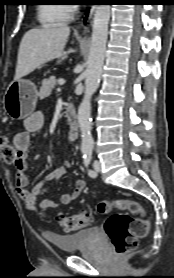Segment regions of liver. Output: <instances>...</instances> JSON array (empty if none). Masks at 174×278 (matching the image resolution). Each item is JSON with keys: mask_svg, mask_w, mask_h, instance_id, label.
<instances>
[{"mask_svg": "<svg viewBox=\"0 0 174 278\" xmlns=\"http://www.w3.org/2000/svg\"><path fill=\"white\" fill-rule=\"evenodd\" d=\"M69 35L70 28L66 25L27 31L19 46L14 80L61 56Z\"/></svg>", "mask_w": 174, "mask_h": 278, "instance_id": "6515ba94", "label": "liver"}]
</instances>
